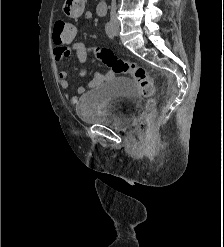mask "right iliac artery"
Segmentation results:
<instances>
[{
  "mask_svg": "<svg viewBox=\"0 0 224 247\" xmlns=\"http://www.w3.org/2000/svg\"><path fill=\"white\" fill-rule=\"evenodd\" d=\"M105 31H106V34L108 35L109 38H111V39L114 38L115 32H114L113 24L111 22H108L106 24Z\"/></svg>",
  "mask_w": 224,
  "mask_h": 247,
  "instance_id": "right-iliac-artery-1",
  "label": "right iliac artery"
}]
</instances>
